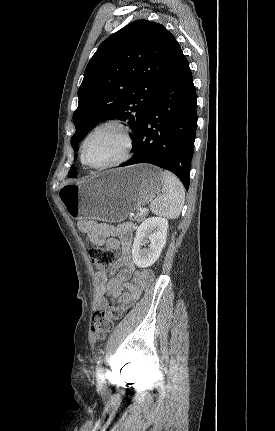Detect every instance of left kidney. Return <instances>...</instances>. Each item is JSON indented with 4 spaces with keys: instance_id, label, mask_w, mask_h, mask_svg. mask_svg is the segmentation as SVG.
I'll list each match as a JSON object with an SVG mask.
<instances>
[{
    "instance_id": "1",
    "label": "left kidney",
    "mask_w": 275,
    "mask_h": 431,
    "mask_svg": "<svg viewBox=\"0 0 275 431\" xmlns=\"http://www.w3.org/2000/svg\"><path fill=\"white\" fill-rule=\"evenodd\" d=\"M167 229L168 220L162 217H150L140 224L132 246V258L138 267L147 268L156 262L166 244ZM145 243H150L149 247L141 249Z\"/></svg>"
}]
</instances>
